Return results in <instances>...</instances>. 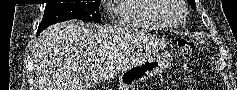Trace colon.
I'll return each mask as SVG.
<instances>
[{"label": "colon", "mask_w": 237, "mask_h": 90, "mask_svg": "<svg viewBox=\"0 0 237 90\" xmlns=\"http://www.w3.org/2000/svg\"><path fill=\"white\" fill-rule=\"evenodd\" d=\"M196 48L197 42L194 40L182 39L178 42V49L185 66L190 61Z\"/></svg>", "instance_id": "obj_1"}]
</instances>
